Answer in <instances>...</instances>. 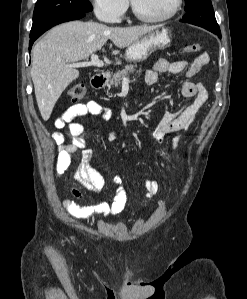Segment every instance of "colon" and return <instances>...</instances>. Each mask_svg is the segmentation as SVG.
Masks as SVG:
<instances>
[{"label":"colon","instance_id":"colon-1","mask_svg":"<svg viewBox=\"0 0 247 299\" xmlns=\"http://www.w3.org/2000/svg\"><path fill=\"white\" fill-rule=\"evenodd\" d=\"M202 50V45L199 43H193V44H189V45H185L183 48V52L185 53H198ZM86 92V88L85 85L83 84H76L74 86H72L69 90H68V96L74 100V101H78L81 100Z\"/></svg>","mask_w":247,"mask_h":299}]
</instances>
